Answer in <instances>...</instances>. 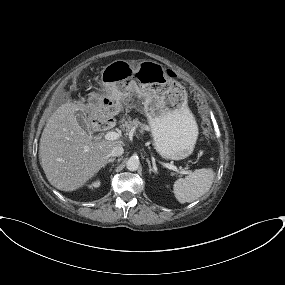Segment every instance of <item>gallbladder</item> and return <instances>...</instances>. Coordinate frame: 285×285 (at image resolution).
<instances>
[{"label": "gallbladder", "instance_id": "gallbladder-1", "mask_svg": "<svg viewBox=\"0 0 285 285\" xmlns=\"http://www.w3.org/2000/svg\"><path fill=\"white\" fill-rule=\"evenodd\" d=\"M76 117H77L78 123L81 125V127L86 129L89 132V134L92 135L93 132L90 130V123L88 122L85 114L82 112H78L76 114Z\"/></svg>", "mask_w": 285, "mask_h": 285}]
</instances>
